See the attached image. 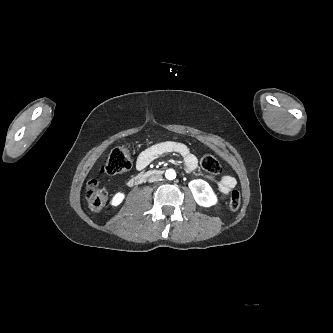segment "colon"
<instances>
[{
  "mask_svg": "<svg viewBox=\"0 0 333 333\" xmlns=\"http://www.w3.org/2000/svg\"><path fill=\"white\" fill-rule=\"evenodd\" d=\"M132 165V156L126 146H121L115 148L105 164L101 168V172L105 174H118L123 173L130 169ZM200 165L203 170L211 174H219L221 172V166L219 162L211 155H205L200 161ZM86 199L88 205L93 211L102 210L108 200L107 192L98 187L95 181H91L86 190ZM241 204V196L237 190L232 191L229 197V208L232 210H237Z\"/></svg>",
  "mask_w": 333,
  "mask_h": 333,
  "instance_id": "5ec220e1",
  "label": "colon"
}]
</instances>
